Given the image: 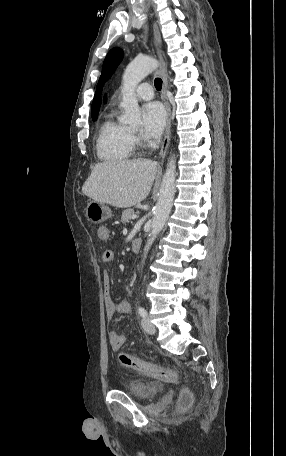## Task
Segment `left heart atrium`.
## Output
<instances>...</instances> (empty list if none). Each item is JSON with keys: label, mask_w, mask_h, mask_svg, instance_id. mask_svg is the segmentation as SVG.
I'll return each instance as SVG.
<instances>
[{"label": "left heart atrium", "mask_w": 286, "mask_h": 456, "mask_svg": "<svg viewBox=\"0 0 286 456\" xmlns=\"http://www.w3.org/2000/svg\"><path fill=\"white\" fill-rule=\"evenodd\" d=\"M142 114L144 121V136L150 139L159 137L166 123V112L164 107L158 102H150L144 105Z\"/></svg>", "instance_id": "obj_1"}]
</instances>
